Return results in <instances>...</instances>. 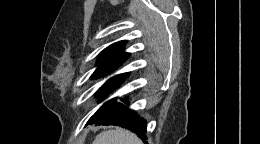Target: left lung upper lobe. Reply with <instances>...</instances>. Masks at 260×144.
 <instances>
[{
  "mask_svg": "<svg viewBox=\"0 0 260 144\" xmlns=\"http://www.w3.org/2000/svg\"><path fill=\"white\" fill-rule=\"evenodd\" d=\"M126 41L116 42L107 48H105L99 55L97 61V69L92 74L91 78H99L105 76L114 70H116L119 66L126 61L128 57V53L123 52L124 45ZM128 76V73L116 75L110 79H108L104 85L96 92L99 97H105L108 93H111L114 89L118 88V86L124 81V79ZM111 100L105 102L102 107L88 120V122L98 114L104 107L108 105ZM87 122V123H88Z\"/></svg>",
  "mask_w": 260,
  "mask_h": 144,
  "instance_id": "obj_1",
  "label": "left lung upper lobe"
}]
</instances>
